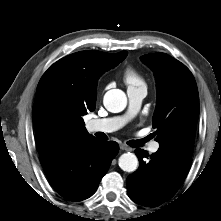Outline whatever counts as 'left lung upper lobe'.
Here are the masks:
<instances>
[{"label":"left lung upper lobe","mask_w":221,"mask_h":221,"mask_svg":"<svg viewBox=\"0 0 221 221\" xmlns=\"http://www.w3.org/2000/svg\"><path fill=\"white\" fill-rule=\"evenodd\" d=\"M154 72L157 104L152 119L160 148L191 157L199 116L197 85L189 69L165 53L141 57Z\"/></svg>","instance_id":"obj_1"}]
</instances>
